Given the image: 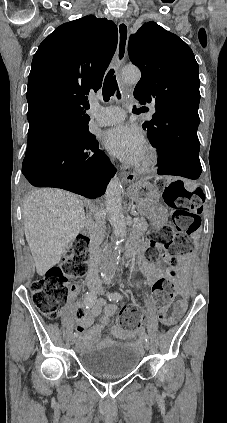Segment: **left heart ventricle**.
<instances>
[{"mask_svg": "<svg viewBox=\"0 0 227 423\" xmlns=\"http://www.w3.org/2000/svg\"><path fill=\"white\" fill-rule=\"evenodd\" d=\"M147 158H148V151L145 152V155H144L141 163H143Z\"/></svg>", "mask_w": 227, "mask_h": 423, "instance_id": "obj_1", "label": "left heart ventricle"}]
</instances>
